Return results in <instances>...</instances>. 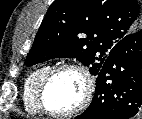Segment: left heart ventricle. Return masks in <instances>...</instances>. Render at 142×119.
Masks as SVG:
<instances>
[{"mask_svg":"<svg viewBox=\"0 0 142 119\" xmlns=\"http://www.w3.org/2000/svg\"><path fill=\"white\" fill-rule=\"evenodd\" d=\"M83 82L79 74L73 70L57 73L45 91V103L55 112H66L74 108L80 101Z\"/></svg>","mask_w":142,"mask_h":119,"instance_id":"b2bd125f","label":"left heart ventricle"}]
</instances>
